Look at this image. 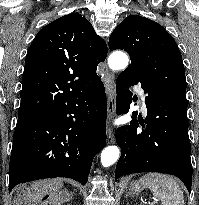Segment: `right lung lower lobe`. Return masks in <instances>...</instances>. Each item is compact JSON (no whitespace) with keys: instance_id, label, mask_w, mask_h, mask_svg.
I'll list each match as a JSON object with an SVG mask.
<instances>
[{"instance_id":"1","label":"right lung lower lobe","mask_w":199,"mask_h":205,"mask_svg":"<svg viewBox=\"0 0 199 205\" xmlns=\"http://www.w3.org/2000/svg\"><path fill=\"white\" fill-rule=\"evenodd\" d=\"M107 100L99 80L91 88L16 127L9 191L17 184L68 177L85 185L94 156L106 144Z\"/></svg>"}]
</instances>
